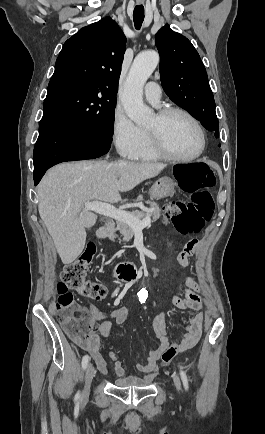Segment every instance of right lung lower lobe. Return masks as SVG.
Returning a JSON list of instances; mask_svg holds the SVG:
<instances>
[{"instance_id": "right-lung-lower-lobe-1", "label": "right lung lower lobe", "mask_w": 265, "mask_h": 434, "mask_svg": "<svg viewBox=\"0 0 265 434\" xmlns=\"http://www.w3.org/2000/svg\"><path fill=\"white\" fill-rule=\"evenodd\" d=\"M111 141V136L81 131L55 118H42L33 152L35 185L58 163L106 154Z\"/></svg>"}]
</instances>
